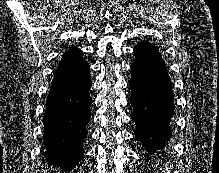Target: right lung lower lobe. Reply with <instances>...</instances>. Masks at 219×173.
I'll use <instances>...</instances> for the list:
<instances>
[{"instance_id": "right-lung-lower-lobe-1", "label": "right lung lower lobe", "mask_w": 219, "mask_h": 173, "mask_svg": "<svg viewBox=\"0 0 219 173\" xmlns=\"http://www.w3.org/2000/svg\"><path fill=\"white\" fill-rule=\"evenodd\" d=\"M89 64L82 54L59 62L43 117L48 166L71 171L82 159L91 113Z\"/></svg>"}]
</instances>
